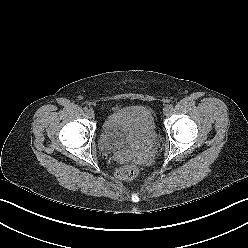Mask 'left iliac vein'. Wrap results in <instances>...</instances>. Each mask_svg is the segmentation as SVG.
<instances>
[{
    "label": "left iliac vein",
    "mask_w": 248,
    "mask_h": 248,
    "mask_svg": "<svg viewBox=\"0 0 248 248\" xmlns=\"http://www.w3.org/2000/svg\"><path fill=\"white\" fill-rule=\"evenodd\" d=\"M170 111H171L170 106H165V107L163 108V113H164V115H168V114L170 113Z\"/></svg>",
    "instance_id": "1"
}]
</instances>
